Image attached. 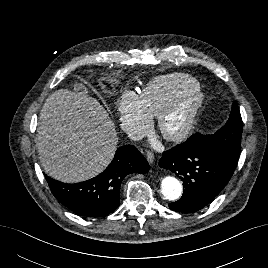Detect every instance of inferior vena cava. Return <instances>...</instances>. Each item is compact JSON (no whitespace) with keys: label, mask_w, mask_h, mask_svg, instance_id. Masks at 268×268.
I'll use <instances>...</instances> for the list:
<instances>
[{"label":"inferior vena cava","mask_w":268,"mask_h":268,"mask_svg":"<svg viewBox=\"0 0 268 268\" xmlns=\"http://www.w3.org/2000/svg\"><path fill=\"white\" fill-rule=\"evenodd\" d=\"M122 129L128 134L129 138L132 140H140L142 139V135L140 134V132L133 128V127H129V126H123Z\"/></svg>","instance_id":"1"}]
</instances>
